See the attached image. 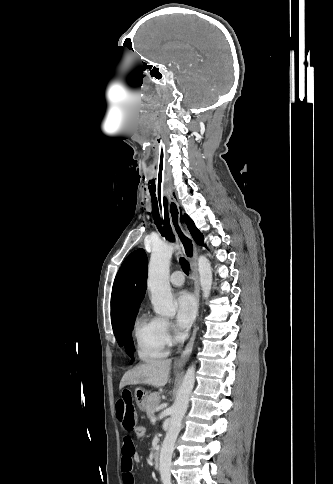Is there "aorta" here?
Instances as JSON below:
<instances>
[{
  "instance_id": "aorta-1",
  "label": "aorta",
  "mask_w": 333,
  "mask_h": 484,
  "mask_svg": "<svg viewBox=\"0 0 333 484\" xmlns=\"http://www.w3.org/2000/svg\"><path fill=\"white\" fill-rule=\"evenodd\" d=\"M175 245H157L151 253L147 287L151 293L153 309L157 314L172 317L176 314L171 286L169 283V266ZM198 271L200 277L203 298L210 296L213 274L209 260L205 256L198 259ZM195 383V365L192 364L183 378L178 390L177 397L172 406L170 424L162 443L159 472L163 484H171V461L174 445L182 428V419L187 410L191 392Z\"/></svg>"
}]
</instances>
